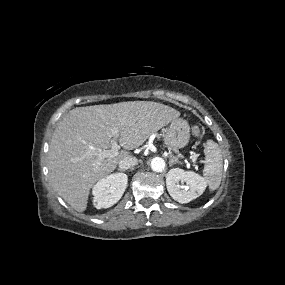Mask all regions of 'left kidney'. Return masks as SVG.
Instances as JSON below:
<instances>
[{
	"label": "left kidney",
	"instance_id": "left-kidney-1",
	"mask_svg": "<svg viewBox=\"0 0 285 285\" xmlns=\"http://www.w3.org/2000/svg\"><path fill=\"white\" fill-rule=\"evenodd\" d=\"M166 185L170 196L181 204L196 199L205 191L207 186L204 178L194 172L184 171L180 168H173L167 173Z\"/></svg>",
	"mask_w": 285,
	"mask_h": 285
}]
</instances>
